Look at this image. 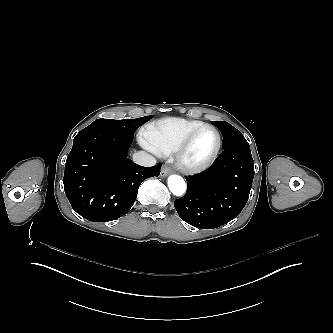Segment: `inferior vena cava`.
Returning a JSON list of instances; mask_svg holds the SVG:
<instances>
[{"mask_svg": "<svg viewBox=\"0 0 333 333\" xmlns=\"http://www.w3.org/2000/svg\"><path fill=\"white\" fill-rule=\"evenodd\" d=\"M133 161L144 167H152L156 164V159L143 151L136 152L133 155Z\"/></svg>", "mask_w": 333, "mask_h": 333, "instance_id": "inferior-vena-cava-1", "label": "inferior vena cava"}]
</instances>
